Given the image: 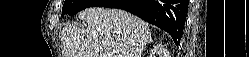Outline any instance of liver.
<instances>
[{
  "mask_svg": "<svg viewBox=\"0 0 249 57\" xmlns=\"http://www.w3.org/2000/svg\"><path fill=\"white\" fill-rule=\"evenodd\" d=\"M88 26L62 30L64 57H141L151 40L149 24L121 9L90 7L79 13Z\"/></svg>",
  "mask_w": 249,
  "mask_h": 57,
  "instance_id": "liver-1",
  "label": "liver"
}]
</instances>
